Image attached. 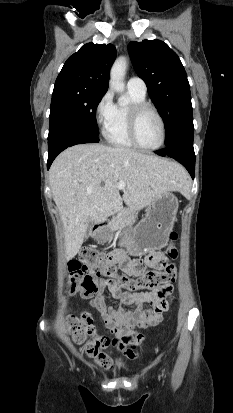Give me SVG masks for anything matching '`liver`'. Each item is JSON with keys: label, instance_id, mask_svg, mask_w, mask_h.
Listing matches in <instances>:
<instances>
[{"label": "liver", "instance_id": "obj_1", "mask_svg": "<svg viewBox=\"0 0 233 413\" xmlns=\"http://www.w3.org/2000/svg\"><path fill=\"white\" fill-rule=\"evenodd\" d=\"M49 174L64 226L67 259L81 249L90 222H104L121 210L123 201L130 209L141 210L166 192L182 191L187 178L175 162L102 144L66 149L54 160ZM119 181L126 185L122 197Z\"/></svg>", "mask_w": 233, "mask_h": 413}]
</instances>
